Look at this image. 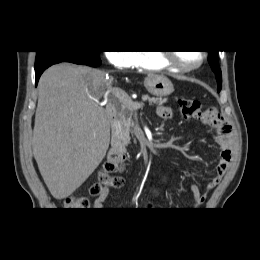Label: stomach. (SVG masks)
<instances>
[{
  "label": "stomach",
  "instance_id": "obj_1",
  "mask_svg": "<svg viewBox=\"0 0 260 260\" xmlns=\"http://www.w3.org/2000/svg\"><path fill=\"white\" fill-rule=\"evenodd\" d=\"M146 90L157 97H166L173 93L174 86L172 82L165 76L147 77L144 80Z\"/></svg>",
  "mask_w": 260,
  "mask_h": 260
}]
</instances>
